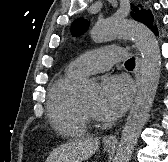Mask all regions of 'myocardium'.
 <instances>
[{"label": "myocardium", "mask_w": 168, "mask_h": 162, "mask_svg": "<svg viewBox=\"0 0 168 162\" xmlns=\"http://www.w3.org/2000/svg\"><path fill=\"white\" fill-rule=\"evenodd\" d=\"M79 108H80V111L82 113V115L84 116V118L87 120V121H95L97 118H96V115L91 112L83 103V101L81 99H79Z\"/></svg>", "instance_id": "myocardium-1"}]
</instances>
